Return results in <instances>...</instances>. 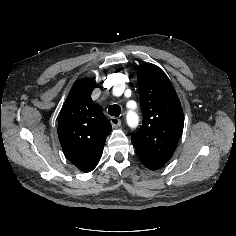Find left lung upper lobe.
I'll return each mask as SVG.
<instances>
[{
  "label": "left lung upper lobe",
  "instance_id": "left-lung-upper-lobe-1",
  "mask_svg": "<svg viewBox=\"0 0 236 236\" xmlns=\"http://www.w3.org/2000/svg\"><path fill=\"white\" fill-rule=\"evenodd\" d=\"M137 78L143 122L131 140L137 154L167 162L183 131L184 115L180 100L158 66L141 65Z\"/></svg>",
  "mask_w": 236,
  "mask_h": 236
}]
</instances>
